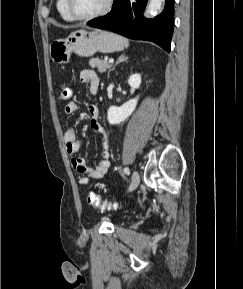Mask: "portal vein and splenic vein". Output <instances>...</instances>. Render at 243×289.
Wrapping results in <instances>:
<instances>
[{"label": "portal vein and splenic vein", "mask_w": 243, "mask_h": 289, "mask_svg": "<svg viewBox=\"0 0 243 289\" xmlns=\"http://www.w3.org/2000/svg\"><path fill=\"white\" fill-rule=\"evenodd\" d=\"M109 63H114V60L113 59H109Z\"/></svg>", "instance_id": "obj_1"}]
</instances>
